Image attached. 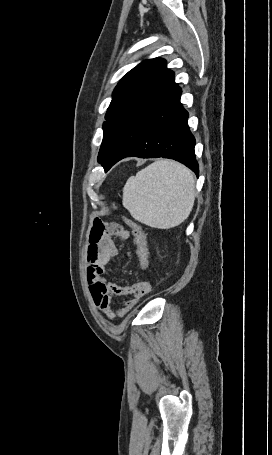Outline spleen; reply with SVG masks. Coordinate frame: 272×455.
<instances>
[{"label": "spleen", "instance_id": "spleen-1", "mask_svg": "<svg viewBox=\"0 0 272 455\" xmlns=\"http://www.w3.org/2000/svg\"><path fill=\"white\" fill-rule=\"evenodd\" d=\"M195 193V180L187 167L159 159L128 178L122 203L139 222L169 229L188 218Z\"/></svg>", "mask_w": 272, "mask_h": 455}]
</instances>
